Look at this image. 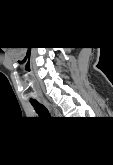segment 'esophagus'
Masks as SVG:
<instances>
[{
    "instance_id": "obj_1",
    "label": "esophagus",
    "mask_w": 113,
    "mask_h": 165,
    "mask_svg": "<svg viewBox=\"0 0 113 165\" xmlns=\"http://www.w3.org/2000/svg\"><path fill=\"white\" fill-rule=\"evenodd\" d=\"M44 105L48 108L52 116L57 117L60 116V112L52 106L50 103H48L46 100H43Z\"/></svg>"
}]
</instances>
